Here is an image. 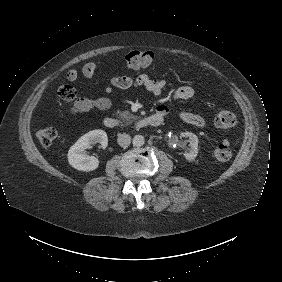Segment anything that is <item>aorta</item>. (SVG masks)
I'll return each instance as SVG.
<instances>
[{"instance_id":"obj_1","label":"aorta","mask_w":282,"mask_h":282,"mask_svg":"<svg viewBox=\"0 0 282 282\" xmlns=\"http://www.w3.org/2000/svg\"><path fill=\"white\" fill-rule=\"evenodd\" d=\"M145 143V138L142 135H135L132 139V144L134 147H141Z\"/></svg>"}]
</instances>
